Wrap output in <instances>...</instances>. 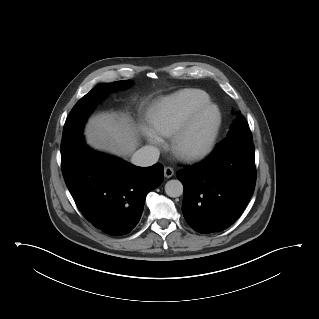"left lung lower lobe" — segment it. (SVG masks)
I'll use <instances>...</instances> for the list:
<instances>
[{"instance_id":"obj_1","label":"left lung lower lobe","mask_w":319,"mask_h":319,"mask_svg":"<svg viewBox=\"0 0 319 319\" xmlns=\"http://www.w3.org/2000/svg\"><path fill=\"white\" fill-rule=\"evenodd\" d=\"M253 142L229 140L205 161L177 173L184 186L182 211L197 232H220L240 217L256 181Z\"/></svg>"}]
</instances>
